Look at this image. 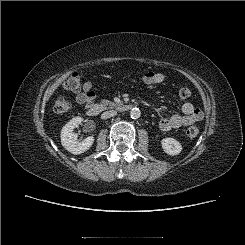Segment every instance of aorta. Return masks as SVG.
<instances>
[{"mask_svg":"<svg viewBox=\"0 0 245 245\" xmlns=\"http://www.w3.org/2000/svg\"><path fill=\"white\" fill-rule=\"evenodd\" d=\"M141 116V111L138 108H132L130 111V117L132 119H138Z\"/></svg>","mask_w":245,"mask_h":245,"instance_id":"762f6f07","label":"aorta"}]
</instances>
